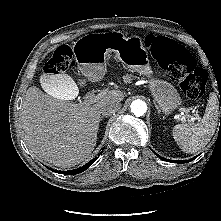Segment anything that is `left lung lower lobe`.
Wrapping results in <instances>:
<instances>
[{
	"mask_svg": "<svg viewBox=\"0 0 221 221\" xmlns=\"http://www.w3.org/2000/svg\"><path fill=\"white\" fill-rule=\"evenodd\" d=\"M160 159L164 160V161H169V162H174V163H188L192 160H194L196 157L192 158V159H189V160H185V161H177V160H169V159H165V158H162L161 156H159L158 154H156Z\"/></svg>",
	"mask_w": 221,
	"mask_h": 221,
	"instance_id": "obj_1",
	"label": "left lung lower lobe"
}]
</instances>
